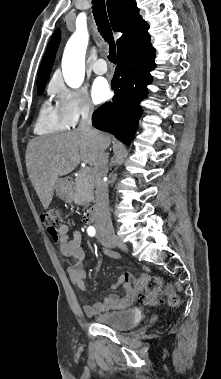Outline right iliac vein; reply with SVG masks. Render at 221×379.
<instances>
[{"instance_id":"63e3f726","label":"right iliac vein","mask_w":221,"mask_h":379,"mask_svg":"<svg viewBox=\"0 0 221 379\" xmlns=\"http://www.w3.org/2000/svg\"><path fill=\"white\" fill-rule=\"evenodd\" d=\"M107 243H110L112 245H116V246H119L121 249L123 250H127V246L125 243H123L119 238H117L116 236H110L108 238H106L105 240Z\"/></svg>"}]
</instances>
